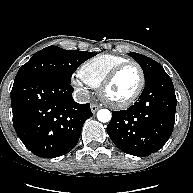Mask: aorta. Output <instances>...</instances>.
<instances>
[{"instance_id": "aorta-1", "label": "aorta", "mask_w": 193, "mask_h": 193, "mask_svg": "<svg viewBox=\"0 0 193 193\" xmlns=\"http://www.w3.org/2000/svg\"><path fill=\"white\" fill-rule=\"evenodd\" d=\"M97 119L103 123L109 122L111 120V112L108 109H100L97 112Z\"/></svg>"}]
</instances>
